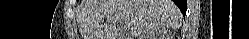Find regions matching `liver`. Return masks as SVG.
<instances>
[{
  "label": "liver",
  "instance_id": "liver-1",
  "mask_svg": "<svg viewBox=\"0 0 249 39\" xmlns=\"http://www.w3.org/2000/svg\"><path fill=\"white\" fill-rule=\"evenodd\" d=\"M120 19L127 23L130 39H136L156 28H179L182 15L172 0H84L80 5L83 39H116Z\"/></svg>",
  "mask_w": 249,
  "mask_h": 39
}]
</instances>
